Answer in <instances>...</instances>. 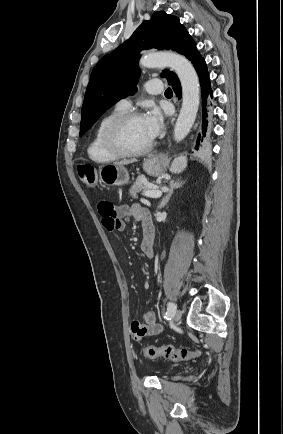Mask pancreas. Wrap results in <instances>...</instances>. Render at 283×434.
<instances>
[{
	"instance_id": "obj_1",
	"label": "pancreas",
	"mask_w": 283,
	"mask_h": 434,
	"mask_svg": "<svg viewBox=\"0 0 283 434\" xmlns=\"http://www.w3.org/2000/svg\"><path fill=\"white\" fill-rule=\"evenodd\" d=\"M148 184L149 182L145 177L139 176L129 189L130 195L136 198L139 192H146L148 190Z\"/></svg>"
}]
</instances>
